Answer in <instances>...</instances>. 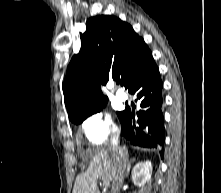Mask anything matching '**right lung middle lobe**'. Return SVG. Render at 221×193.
<instances>
[{
  "instance_id": "dd1d6c3e",
  "label": "right lung middle lobe",
  "mask_w": 221,
  "mask_h": 193,
  "mask_svg": "<svg viewBox=\"0 0 221 193\" xmlns=\"http://www.w3.org/2000/svg\"><path fill=\"white\" fill-rule=\"evenodd\" d=\"M101 110H102V108H100V109H98V110H95V111H93V112H90V113H88V114H86V115L78 116V117L74 118V119L72 120V122H74V123H76V124L81 123V122H82L83 120H85L88 116H90V115H92V114H94V113H97V112H99V111H101ZM123 114H124V111L117 112V115H118L120 121H121V119H122Z\"/></svg>"
}]
</instances>
